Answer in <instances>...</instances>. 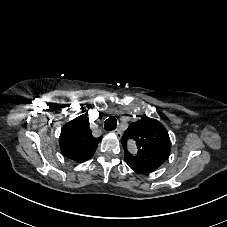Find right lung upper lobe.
Listing matches in <instances>:
<instances>
[{
  "label": "right lung upper lobe",
  "mask_w": 227,
  "mask_h": 227,
  "mask_svg": "<svg viewBox=\"0 0 227 227\" xmlns=\"http://www.w3.org/2000/svg\"><path fill=\"white\" fill-rule=\"evenodd\" d=\"M101 139L92 136L88 117L83 114L63 126L59 143L66 158L85 162L92 158Z\"/></svg>",
  "instance_id": "1"
}]
</instances>
